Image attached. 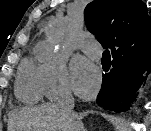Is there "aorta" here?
<instances>
[{
	"mask_svg": "<svg viewBox=\"0 0 151 131\" xmlns=\"http://www.w3.org/2000/svg\"><path fill=\"white\" fill-rule=\"evenodd\" d=\"M67 30V26L66 25H54L48 32V37L49 40L53 43V44H58L61 42V40L64 37V34Z\"/></svg>",
	"mask_w": 151,
	"mask_h": 131,
	"instance_id": "obj_1",
	"label": "aorta"
}]
</instances>
